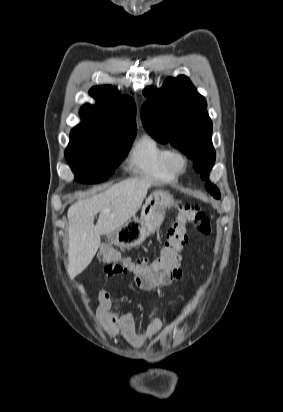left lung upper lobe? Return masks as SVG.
Here are the masks:
<instances>
[{
    "instance_id": "obj_1",
    "label": "left lung upper lobe",
    "mask_w": 283,
    "mask_h": 412,
    "mask_svg": "<svg viewBox=\"0 0 283 412\" xmlns=\"http://www.w3.org/2000/svg\"><path fill=\"white\" fill-rule=\"evenodd\" d=\"M149 99L141 108L146 131L157 141L170 142L194 162V168L207 179L216 153L211 142L212 122L204 97L186 76L168 78L161 89L146 87ZM206 189L217 199L218 188L209 181Z\"/></svg>"
}]
</instances>
